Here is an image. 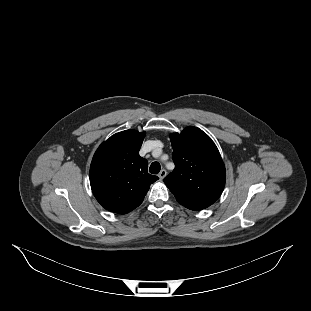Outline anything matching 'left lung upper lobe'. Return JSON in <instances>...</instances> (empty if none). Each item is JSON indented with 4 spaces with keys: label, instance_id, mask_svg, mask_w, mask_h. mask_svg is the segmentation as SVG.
<instances>
[{
    "label": "left lung upper lobe",
    "instance_id": "1",
    "mask_svg": "<svg viewBox=\"0 0 311 311\" xmlns=\"http://www.w3.org/2000/svg\"><path fill=\"white\" fill-rule=\"evenodd\" d=\"M170 139L175 169L164 178V183L186 208L209 207L225 186V166L216 145L193 126L172 134Z\"/></svg>",
    "mask_w": 311,
    "mask_h": 311
}]
</instances>
